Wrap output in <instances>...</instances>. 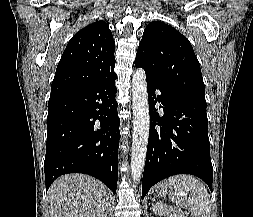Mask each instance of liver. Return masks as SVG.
<instances>
[{
	"label": "liver",
	"instance_id": "1",
	"mask_svg": "<svg viewBox=\"0 0 253 217\" xmlns=\"http://www.w3.org/2000/svg\"><path fill=\"white\" fill-rule=\"evenodd\" d=\"M50 217H107L110 210L108 189L85 174L57 178L47 194Z\"/></svg>",
	"mask_w": 253,
	"mask_h": 217
}]
</instances>
